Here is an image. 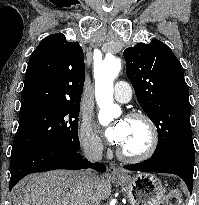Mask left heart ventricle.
<instances>
[{
  "instance_id": "b2bd125f",
  "label": "left heart ventricle",
  "mask_w": 199,
  "mask_h": 205,
  "mask_svg": "<svg viewBox=\"0 0 199 205\" xmlns=\"http://www.w3.org/2000/svg\"><path fill=\"white\" fill-rule=\"evenodd\" d=\"M126 121V135L120 147L128 153L142 151L148 142V130L145 124L138 120Z\"/></svg>"
}]
</instances>
